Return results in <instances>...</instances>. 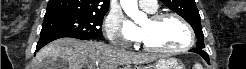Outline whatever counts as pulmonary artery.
I'll use <instances>...</instances> for the list:
<instances>
[{"label":"pulmonary artery","mask_w":246,"mask_h":69,"mask_svg":"<svg viewBox=\"0 0 246 69\" xmlns=\"http://www.w3.org/2000/svg\"><path fill=\"white\" fill-rule=\"evenodd\" d=\"M140 6L147 12L154 13L157 11V1L155 0H145V1H139Z\"/></svg>","instance_id":"obj_1"}]
</instances>
